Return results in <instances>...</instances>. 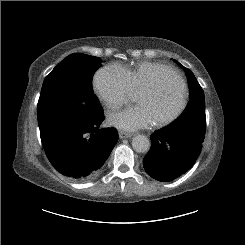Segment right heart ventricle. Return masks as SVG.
I'll return each mask as SVG.
<instances>
[{
	"label": "right heart ventricle",
	"instance_id": "obj_1",
	"mask_svg": "<svg viewBox=\"0 0 245 245\" xmlns=\"http://www.w3.org/2000/svg\"><path fill=\"white\" fill-rule=\"evenodd\" d=\"M169 67L160 63L140 62L134 68L127 69L135 93L155 83L158 75Z\"/></svg>",
	"mask_w": 245,
	"mask_h": 245
}]
</instances>
